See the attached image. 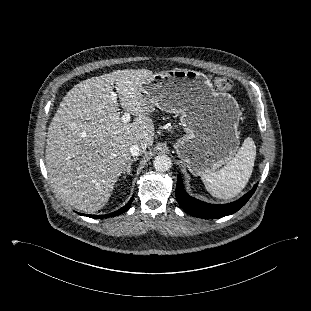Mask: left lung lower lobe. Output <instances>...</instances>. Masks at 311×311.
<instances>
[{
	"label": "left lung lower lobe",
	"mask_w": 311,
	"mask_h": 311,
	"mask_svg": "<svg viewBox=\"0 0 311 311\" xmlns=\"http://www.w3.org/2000/svg\"><path fill=\"white\" fill-rule=\"evenodd\" d=\"M258 183L254 185L253 189L246 193L239 200L222 205L208 204L199 201L191 196H189L183 187L182 178L178 176L177 186H176V198L179 205L190 215L205 219L221 218L227 215H231L238 211L250 197L254 194Z\"/></svg>",
	"instance_id": "obj_1"
}]
</instances>
